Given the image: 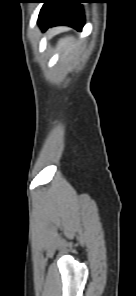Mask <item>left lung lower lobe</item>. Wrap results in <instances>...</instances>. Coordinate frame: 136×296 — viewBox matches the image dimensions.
Masks as SVG:
<instances>
[{
  "label": "left lung lower lobe",
  "mask_w": 136,
  "mask_h": 296,
  "mask_svg": "<svg viewBox=\"0 0 136 296\" xmlns=\"http://www.w3.org/2000/svg\"><path fill=\"white\" fill-rule=\"evenodd\" d=\"M87 0H54L53 6L47 16L38 21L43 31L57 25H67L78 31L84 26V11L80 3Z\"/></svg>",
  "instance_id": "obj_1"
}]
</instances>
